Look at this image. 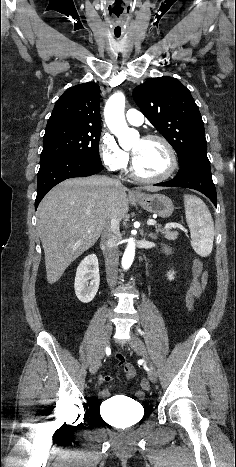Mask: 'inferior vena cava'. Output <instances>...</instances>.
Instances as JSON below:
<instances>
[{"instance_id": "602c4592", "label": "inferior vena cava", "mask_w": 236, "mask_h": 467, "mask_svg": "<svg viewBox=\"0 0 236 467\" xmlns=\"http://www.w3.org/2000/svg\"><path fill=\"white\" fill-rule=\"evenodd\" d=\"M112 182L120 186V180L111 179ZM120 239L119 220L113 217L102 231L101 246L105 258L106 277L110 286H114L117 280L119 250L118 241Z\"/></svg>"}]
</instances>
